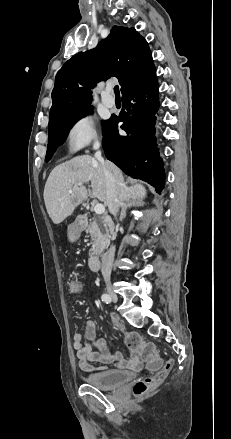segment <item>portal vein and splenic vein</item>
<instances>
[{"label":"portal vein and splenic vein","instance_id":"portal-vein-and-splenic-vein-1","mask_svg":"<svg viewBox=\"0 0 231 439\" xmlns=\"http://www.w3.org/2000/svg\"><path fill=\"white\" fill-rule=\"evenodd\" d=\"M68 192H69V193H72V190H69ZM94 211H95L96 214H98V215H102V214H104V212H105V207H104L103 204H96V205L94 206Z\"/></svg>","mask_w":231,"mask_h":439}]
</instances>
